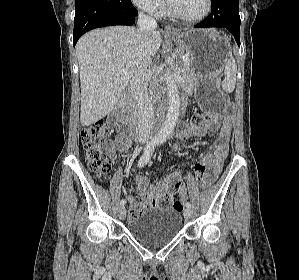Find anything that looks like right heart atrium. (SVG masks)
Instances as JSON below:
<instances>
[{
	"label": "right heart atrium",
	"instance_id": "1",
	"mask_svg": "<svg viewBox=\"0 0 299 280\" xmlns=\"http://www.w3.org/2000/svg\"><path fill=\"white\" fill-rule=\"evenodd\" d=\"M132 1L140 9L153 14L157 13L163 6V0H132Z\"/></svg>",
	"mask_w": 299,
	"mask_h": 280
}]
</instances>
